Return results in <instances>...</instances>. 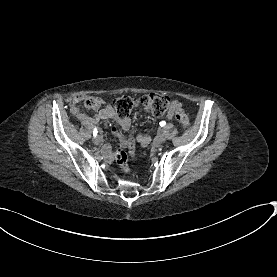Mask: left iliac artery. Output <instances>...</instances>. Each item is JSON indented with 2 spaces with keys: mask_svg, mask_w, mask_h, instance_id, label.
I'll return each instance as SVG.
<instances>
[{
  "mask_svg": "<svg viewBox=\"0 0 277 277\" xmlns=\"http://www.w3.org/2000/svg\"><path fill=\"white\" fill-rule=\"evenodd\" d=\"M165 125H166V122H165V121H161V122H160V126H161V127H164Z\"/></svg>",
  "mask_w": 277,
  "mask_h": 277,
  "instance_id": "1",
  "label": "left iliac artery"
}]
</instances>
